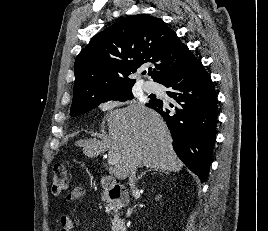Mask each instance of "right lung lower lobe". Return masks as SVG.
<instances>
[{
    "label": "right lung lower lobe",
    "instance_id": "1",
    "mask_svg": "<svg viewBox=\"0 0 268 231\" xmlns=\"http://www.w3.org/2000/svg\"><path fill=\"white\" fill-rule=\"evenodd\" d=\"M162 85L175 100L167 104L154 99L148 107L166 121L178 157L205 182L215 143L217 96L211 77L199 60L193 66L167 77Z\"/></svg>",
    "mask_w": 268,
    "mask_h": 231
}]
</instances>
